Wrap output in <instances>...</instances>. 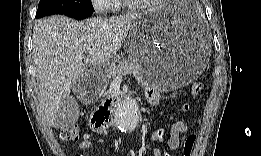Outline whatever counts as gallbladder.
<instances>
[{
    "label": "gallbladder",
    "instance_id": "obj_1",
    "mask_svg": "<svg viewBox=\"0 0 261 156\" xmlns=\"http://www.w3.org/2000/svg\"><path fill=\"white\" fill-rule=\"evenodd\" d=\"M74 96H66V98H63L64 100L59 103L60 105H56L59 108L56 115V127L58 128H66L70 127L77 121L79 115H78V109L80 108L79 105H77V101Z\"/></svg>",
    "mask_w": 261,
    "mask_h": 156
}]
</instances>
